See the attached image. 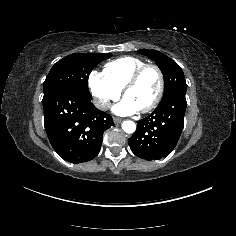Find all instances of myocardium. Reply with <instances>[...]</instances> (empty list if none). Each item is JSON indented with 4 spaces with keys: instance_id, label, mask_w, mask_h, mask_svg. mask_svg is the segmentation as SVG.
<instances>
[{
    "instance_id": "myocardium-1",
    "label": "myocardium",
    "mask_w": 236,
    "mask_h": 236,
    "mask_svg": "<svg viewBox=\"0 0 236 236\" xmlns=\"http://www.w3.org/2000/svg\"><path fill=\"white\" fill-rule=\"evenodd\" d=\"M149 69L154 70L158 76V89H157V93H156L154 99L152 100V102L150 104H148L145 108L139 110L141 113H147V112L153 110L160 103V101L162 99L164 89H165V78H164V74H163L162 70L157 65L144 64L141 67H139L137 70L134 71V73L127 79V81L124 84L123 89H122V95H123V97H125L126 92L131 87H133L137 83V81L140 79L142 74Z\"/></svg>"
}]
</instances>
